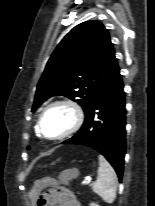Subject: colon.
<instances>
[{"instance_id": "colon-1", "label": "colon", "mask_w": 155, "mask_h": 206, "mask_svg": "<svg viewBox=\"0 0 155 206\" xmlns=\"http://www.w3.org/2000/svg\"><path fill=\"white\" fill-rule=\"evenodd\" d=\"M64 178L61 177L59 180L51 179V178H44L40 180L41 188H34L33 190L36 192V202L37 206H43L46 203V193L41 191L42 188L48 189L50 191L52 188L57 186L61 180Z\"/></svg>"}]
</instances>
